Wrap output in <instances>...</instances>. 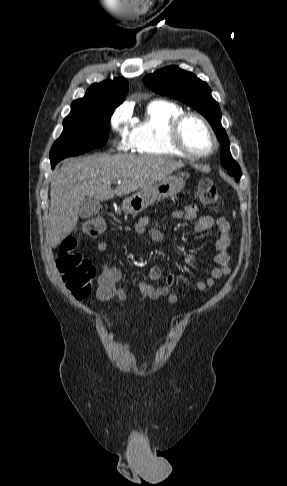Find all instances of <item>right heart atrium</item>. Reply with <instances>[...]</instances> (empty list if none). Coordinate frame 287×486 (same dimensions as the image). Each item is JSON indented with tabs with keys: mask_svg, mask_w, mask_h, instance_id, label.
Wrapping results in <instances>:
<instances>
[{
	"mask_svg": "<svg viewBox=\"0 0 287 486\" xmlns=\"http://www.w3.org/2000/svg\"><path fill=\"white\" fill-rule=\"evenodd\" d=\"M128 119V113L122 109L116 110L110 119L111 128L120 134V138L117 142V148L121 151H128L131 149V143L128 137V131L126 129Z\"/></svg>",
	"mask_w": 287,
	"mask_h": 486,
	"instance_id": "d8ad5b80",
	"label": "right heart atrium"
}]
</instances>
